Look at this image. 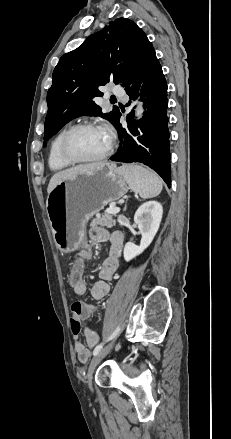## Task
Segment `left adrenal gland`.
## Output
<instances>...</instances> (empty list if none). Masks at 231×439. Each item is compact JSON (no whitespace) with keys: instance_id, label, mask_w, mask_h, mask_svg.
I'll use <instances>...</instances> for the list:
<instances>
[{"instance_id":"left-adrenal-gland-1","label":"left adrenal gland","mask_w":231,"mask_h":439,"mask_svg":"<svg viewBox=\"0 0 231 439\" xmlns=\"http://www.w3.org/2000/svg\"><path fill=\"white\" fill-rule=\"evenodd\" d=\"M126 209H127V206H126V204H125L124 211H126Z\"/></svg>"}]
</instances>
